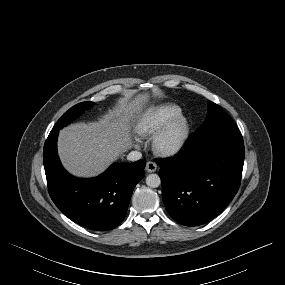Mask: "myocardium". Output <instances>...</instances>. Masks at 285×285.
I'll list each match as a JSON object with an SVG mask.
<instances>
[{
  "label": "myocardium",
  "mask_w": 285,
  "mask_h": 285,
  "mask_svg": "<svg viewBox=\"0 0 285 285\" xmlns=\"http://www.w3.org/2000/svg\"><path fill=\"white\" fill-rule=\"evenodd\" d=\"M189 135V122L179 113L172 117L153 137L154 151L163 157L177 155L184 147Z\"/></svg>",
  "instance_id": "f54148a6"
}]
</instances>
